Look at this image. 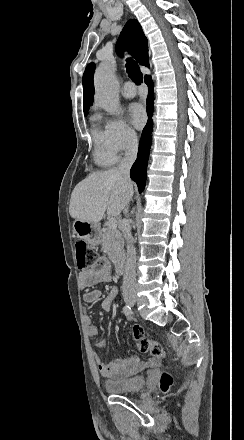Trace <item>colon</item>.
<instances>
[{
    "instance_id": "obj_1",
    "label": "colon",
    "mask_w": 244,
    "mask_h": 440,
    "mask_svg": "<svg viewBox=\"0 0 244 440\" xmlns=\"http://www.w3.org/2000/svg\"><path fill=\"white\" fill-rule=\"evenodd\" d=\"M76 266L78 271H85L88 266L94 265L99 260V254L95 249H89L85 241H78L75 244ZM133 338L138 344L139 352L149 354L156 358L166 357V352L159 341L152 340L143 335V329L139 325L133 327ZM170 377L164 376L162 384H169Z\"/></svg>"
}]
</instances>
